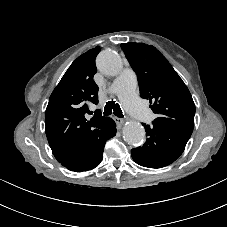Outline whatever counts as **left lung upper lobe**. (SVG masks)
<instances>
[{
    "instance_id": "5c2ea615",
    "label": "left lung upper lobe",
    "mask_w": 227,
    "mask_h": 227,
    "mask_svg": "<svg viewBox=\"0 0 227 227\" xmlns=\"http://www.w3.org/2000/svg\"><path fill=\"white\" fill-rule=\"evenodd\" d=\"M121 47L137 74L141 97L150 101L149 107L157 114L153 123L190 138L195 104L171 64L154 46L129 42Z\"/></svg>"
}]
</instances>
